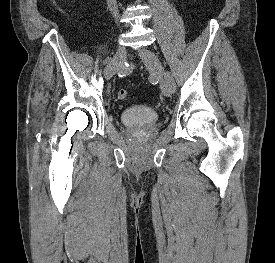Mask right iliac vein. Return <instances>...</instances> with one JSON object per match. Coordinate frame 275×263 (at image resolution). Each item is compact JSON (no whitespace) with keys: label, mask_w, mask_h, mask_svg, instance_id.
Here are the masks:
<instances>
[{"label":"right iliac vein","mask_w":275,"mask_h":263,"mask_svg":"<svg viewBox=\"0 0 275 263\" xmlns=\"http://www.w3.org/2000/svg\"><path fill=\"white\" fill-rule=\"evenodd\" d=\"M127 50L125 46L120 45L116 50L111 62L104 71L106 79H110L121 67L122 63L126 59Z\"/></svg>","instance_id":"1"}]
</instances>
